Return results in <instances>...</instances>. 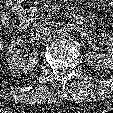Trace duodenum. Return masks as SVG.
I'll return each instance as SVG.
<instances>
[{
	"label": "duodenum",
	"instance_id": "duodenum-1",
	"mask_svg": "<svg viewBox=\"0 0 113 113\" xmlns=\"http://www.w3.org/2000/svg\"><path fill=\"white\" fill-rule=\"evenodd\" d=\"M14 1H16V0H14ZM66 16L69 19H72L79 24H84L86 22V19L83 16L78 15L71 10H68L66 12ZM19 26L22 30H27L30 26V18L28 16L23 15L22 18L20 19V25Z\"/></svg>",
	"mask_w": 113,
	"mask_h": 113
}]
</instances>
